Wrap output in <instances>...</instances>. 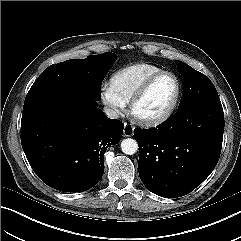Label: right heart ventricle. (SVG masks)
Returning <instances> with one entry per match:
<instances>
[{
  "mask_svg": "<svg viewBox=\"0 0 241 241\" xmlns=\"http://www.w3.org/2000/svg\"><path fill=\"white\" fill-rule=\"evenodd\" d=\"M162 70L161 67L154 64L135 63L113 73L110 84L127 104L149 77Z\"/></svg>",
  "mask_w": 241,
  "mask_h": 241,
  "instance_id": "obj_1",
  "label": "right heart ventricle"
}]
</instances>
